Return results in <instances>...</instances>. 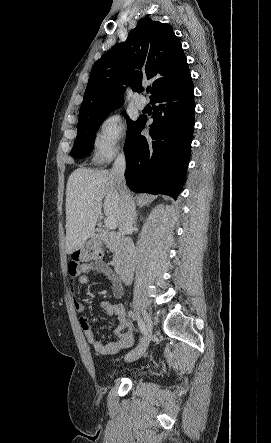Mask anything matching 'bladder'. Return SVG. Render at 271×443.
<instances>
[{
	"mask_svg": "<svg viewBox=\"0 0 271 443\" xmlns=\"http://www.w3.org/2000/svg\"><path fill=\"white\" fill-rule=\"evenodd\" d=\"M144 373V371L143 370H140V369H134V370H131L130 371V374H133V375H135V376H138V375H141V374H143ZM116 375V374H115Z\"/></svg>",
	"mask_w": 271,
	"mask_h": 443,
	"instance_id": "31cf9c89",
	"label": "bladder"
}]
</instances>
